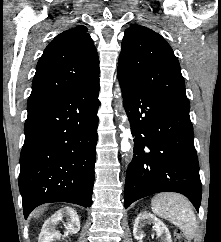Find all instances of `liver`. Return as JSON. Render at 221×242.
Returning <instances> with one entry per match:
<instances>
[{
	"label": "liver",
	"mask_w": 221,
	"mask_h": 242,
	"mask_svg": "<svg viewBox=\"0 0 221 242\" xmlns=\"http://www.w3.org/2000/svg\"><path fill=\"white\" fill-rule=\"evenodd\" d=\"M39 214H40V210L34 212V216H35V217H38Z\"/></svg>",
	"instance_id": "6515ba94"
}]
</instances>
